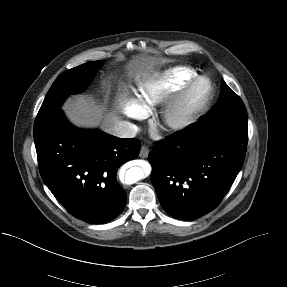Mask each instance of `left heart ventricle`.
Returning <instances> with one entry per match:
<instances>
[{
	"label": "left heart ventricle",
	"instance_id": "obj_1",
	"mask_svg": "<svg viewBox=\"0 0 287 287\" xmlns=\"http://www.w3.org/2000/svg\"><path fill=\"white\" fill-rule=\"evenodd\" d=\"M201 90H202V89L200 88V89L197 91V93H199Z\"/></svg>",
	"mask_w": 287,
	"mask_h": 287
}]
</instances>
